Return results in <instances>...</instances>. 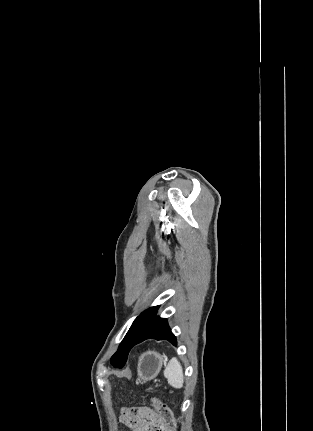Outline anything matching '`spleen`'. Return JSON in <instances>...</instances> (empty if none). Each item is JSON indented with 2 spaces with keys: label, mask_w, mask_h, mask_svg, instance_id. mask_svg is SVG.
Instances as JSON below:
<instances>
[{
  "label": "spleen",
  "mask_w": 313,
  "mask_h": 431,
  "mask_svg": "<svg viewBox=\"0 0 313 431\" xmlns=\"http://www.w3.org/2000/svg\"><path fill=\"white\" fill-rule=\"evenodd\" d=\"M164 376L167 378L168 383L174 388H182L184 383V376L182 366L177 358H172L164 370Z\"/></svg>",
  "instance_id": "spleen-1"
}]
</instances>
